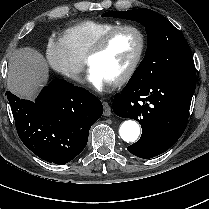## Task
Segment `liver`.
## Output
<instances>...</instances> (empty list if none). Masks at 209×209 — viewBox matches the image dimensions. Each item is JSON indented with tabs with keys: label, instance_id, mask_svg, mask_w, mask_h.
Instances as JSON below:
<instances>
[{
	"label": "liver",
	"instance_id": "1",
	"mask_svg": "<svg viewBox=\"0 0 209 209\" xmlns=\"http://www.w3.org/2000/svg\"><path fill=\"white\" fill-rule=\"evenodd\" d=\"M48 80V65L37 50L24 47L16 50L9 61L7 84L11 92L32 99Z\"/></svg>",
	"mask_w": 209,
	"mask_h": 209
}]
</instances>
